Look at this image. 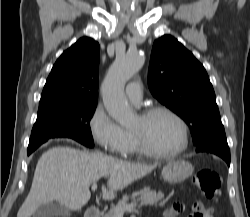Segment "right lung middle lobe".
<instances>
[{
  "mask_svg": "<svg viewBox=\"0 0 250 217\" xmlns=\"http://www.w3.org/2000/svg\"><path fill=\"white\" fill-rule=\"evenodd\" d=\"M96 105H76L38 113L29 140L28 155L41 144L55 137L72 138L87 147H93L89 122Z\"/></svg>",
  "mask_w": 250,
  "mask_h": 217,
  "instance_id": "obj_1",
  "label": "right lung middle lobe"
}]
</instances>
